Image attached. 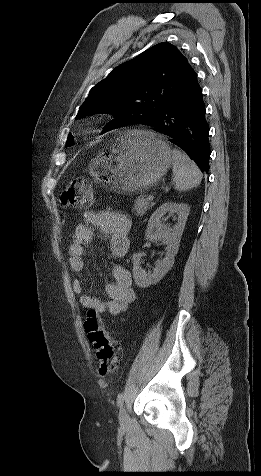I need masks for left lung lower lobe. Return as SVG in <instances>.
Listing matches in <instances>:
<instances>
[{"instance_id":"0a47b994","label":"left lung lower lobe","mask_w":261,"mask_h":476,"mask_svg":"<svg viewBox=\"0 0 261 476\" xmlns=\"http://www.w3.org/2000/svg\"><path fill=\"white\" fill-rule=\"evenodd\" d=\"M196 73L188 86L158 116L143 123L183 150L206 173L209 171V125Z\"/></svg>"}]
</instances>
